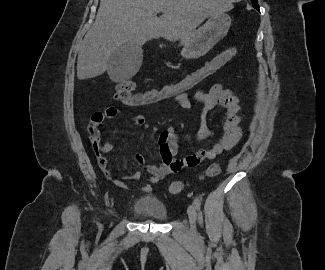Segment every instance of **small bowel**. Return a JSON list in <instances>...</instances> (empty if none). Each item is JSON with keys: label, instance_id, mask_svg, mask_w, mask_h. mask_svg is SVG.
Returning a JSON list of instances; mask_svg holds the SVG:
<instances>
[{"label": "small bowel", "instance_id": "c3829d8e", "mask_svg": "<svg viewBox=\"0 0 325 270\" xmlns=\"http://www.w3.org/2000/svg\"><path fill=\"white\" fill-rule=\"evenodd\" d=\"M159 89H163V87ZM135 96H144V94L143 92H140L135 94ZM174 101L183 109L191 108L192 102L198 103L202 106V121L198 132V137L200 139H207L211 136V131L204 120L205 114L217 107L224 108L225 116L222 124L223 134L210 149L200 150L195 154L187 156L184 160L178 161L175 158L178 151L177 133L175 128L170 126L163 130L158 139L159 153L162 159L161 164H148L142 154L138 153L135 155V161L137 164L144 167L151 175L147 183L140 187V190L144 192H150L154 184L159 183L167 175L172 173V171H178L183 166L195 167L202 160L215 159L222 152L232 149L242 135V130L239 126V113L241 110L239 100L232 91L225 89L221 84H214L208 92L197 89L194 90L191 96L188 93H183L182 96H175ZM151 104L155 103H131L130 106L141 107ZM119 117H125V112L117 107H109L104 112H95L91 116L89 131L91 142L96 153L97 162L101 170L114 185L128 189L130 186L125 180L111 176L108 161L104 157V154L110 152L113 149V145L111 142H100V132L98 129L105 120L117 119ZM128 124L133 127H142L145 125V119L142 115H133L129 118ZM140 177L141 173L136 171L130 174L126 179L138 180Z\"/></svg>", "mask_w": 325, "mask_h": 270}]
</instances>
